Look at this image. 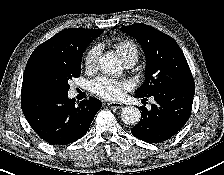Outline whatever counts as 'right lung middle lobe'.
Segmentation results:
<instances>
[{
	"instance_id": "1",
	"label": "right lung middle lobe",
	"mask_w": 224,
	"mask_h": 175,
	"mask_svg": "<svg viewBox=\"0 0 224 175\" xmlns=\"http://www.w3.org/2000/svg\"><path fill=\"white\" fill-rule=\"evenodd\" d=\"M83 51L57 60H44L33 66L27 76V89L68 91V82L81 73Z\"/></svg>"
}]
</instances>
